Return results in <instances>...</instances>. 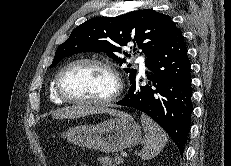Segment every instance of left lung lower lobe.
<instances>
[{
    "instance_id": "1",
    "label": "left lung lower lobe",
    "mask_w": 231,
    "mask_h": 166,
    "mask_svg": "<svg viewBox=\"0 0 231 166\" xmlns=\"http://www.w3.org/2000/svg\"><path fill=\"white\" fill-rule=\"evenodd\" d=\"M148 84L136 76L118 105L142 111L156 121L183 154L191 125V64L182 32L176 28L166 43L145 61Z\"/></svg>"
}]
</instances>
